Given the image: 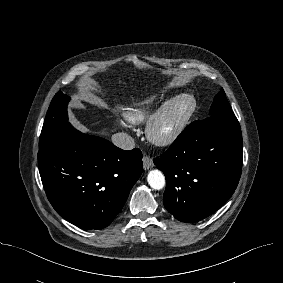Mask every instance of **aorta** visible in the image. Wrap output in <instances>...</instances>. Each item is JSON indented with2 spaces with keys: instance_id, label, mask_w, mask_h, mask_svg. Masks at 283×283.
<instances>
[{
  "instance_id": "obj_1",
  "label": "aorta",
  "mask_w": 283,
  "mask_h": 283,
  "mask_svg": "<svg viewBox=\"0 0 283 283\" xmlns=\"http://www.w3.org/2000/svg\"><path fill=\"white\" fill-rule=\"evenodd\" d=\"M147 181L149 185L155 189L160 190L165 186V177L160 170L154 169L148 173Z\"/></svg>"
}]
</instances>
